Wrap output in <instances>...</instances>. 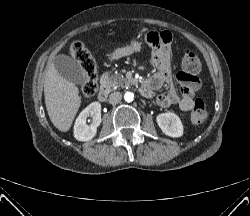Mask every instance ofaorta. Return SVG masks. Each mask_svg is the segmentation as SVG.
Masks as SVG:
<instances>
[{"instance_id":"aorta-1","label":"aorta","mask_w":250,"mask_h":216,"mask_svg":"<svg viewBox=\"0 0 250 216\" xmlns=\"http://www.w3.org/2000/svg\"><path fill=\"white\" fill-rule=\"evenodd\" d=\"M124 99H125V101H127V102H132L133 99H134V94H133L132 92H127V93H125Z\"/></svg>"}]
</instances>
